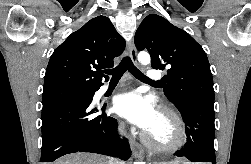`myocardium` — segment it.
<instances>
[{"mask_svg":"<svg viewBox=\"0 0 251 164\" xmlns=\"http://www.w3.org/2000/svg\"><path fill=\"white\" fill-rule=\"evenodd\" d=\"M159 116L165 119L171 126L172 137L166 142H157L151 133L144 137L146 146L155 152H173L178 150L185 142L186 129L180 115L170 107H162Z\"/></svg>","mask_w":251,"mask_h":164,"instance_id":"f54148a6","label":"myocardium"}]
</instances>
